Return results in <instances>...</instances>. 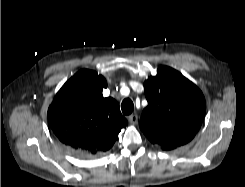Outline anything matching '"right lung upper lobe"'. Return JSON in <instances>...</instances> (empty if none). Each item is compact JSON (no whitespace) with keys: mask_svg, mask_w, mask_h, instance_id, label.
Segmentation results:
<instances>
[{"mask_svg":"<svg viewBox=\"0 0 245 187\" xmlns=\"http://www.w3.org/2000/svg\"><path fill=\"white\" fill-rule=\"evenodd\" d=\"M105 78L95 71L80 70L58 91L48 109V121L67 147L89 156L108 151L128 122L118 103L104 98Z\"/></svg>","mask_w":245,"mask_h":187,"instance_id":"cb5924a9","label":"right lung upper lobe"}]
</instances>
